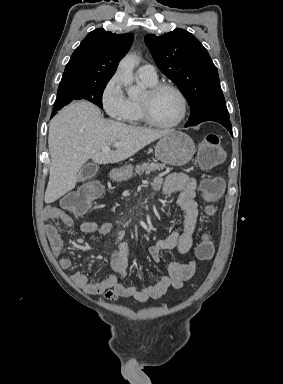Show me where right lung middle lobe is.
<instances>
[{"label": "right lung middle lobe", "mask_w": 283, "mask_h": 384, "mask_svg": "<svg viewBox=\"0 0 283 384\" xmlns=\"http://www.w3.org/2000/svg\"><path fill=\"white\" fill-rule=\"evenodd\" d=\"M107 83L78 84L59 86L54 109L60 110L73 100L85 99L102 107V94Z\"/></svg>", "instance_id": "obj_1"}]
</instances>
